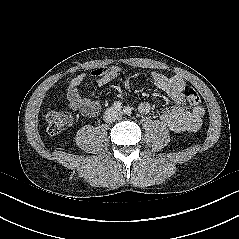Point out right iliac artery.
Wrapping results in <instances>:
<instances>
[{"instance_id":"right-iliac-artery-1","label":"right iliac artery","mask_w":239,"mask_h":239,"mask_svg":"<svg viewBox=\"0 0 239 239\" xmlns=\"http://www.w3.org/2000/svg\"><path fill=\"white\" fill-rule=\"evenodd\" d=\"M113 107L116 110H120L122 108V104L119 101L114 102Z\"/></svg>"}]
</instances>
